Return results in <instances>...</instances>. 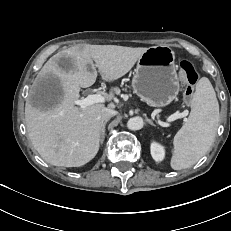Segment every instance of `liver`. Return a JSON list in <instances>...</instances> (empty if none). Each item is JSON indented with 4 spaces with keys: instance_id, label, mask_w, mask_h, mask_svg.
<instances>
[{
    "instance_id": "liver-1",
    "label": "liver",
    "mask_w": 231,
    "mask_h": 231,
    "mask_svg": "<svg viewBox=\"0 0 231 231\" xmlns=\"http://www.w3.org/2000/svg\"><path fill=\"white\" fill-rule=\"evenodd\" d=\"M147 49L75 45L59 51L44 64L36 77V85L55 80L59 90L54 103L43 109L33 106L30 97L25 105V121L33 147L46 162L54 166L79 167L96 156L102 126L101 112L105 106L99 103L84 109L76 106L74 101L80 96V88L95 83L96 68L105 81L121 78ZM113 96L111 90L105 99L109 101Z\"/></svg>"
}]
</instances>
